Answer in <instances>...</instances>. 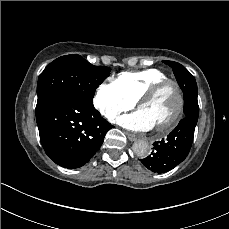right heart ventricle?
Segmentation results:
<instances>
[{"mask_svg": "<svg viewBox=\"0 0 229 229\" xmlns=\"http://www.w3.org/2000/svg\"><path fill=\"white\" fill-rule=\"evenodd\" d=\"M168 78L169 76L162 70L149 68L122 72L117 76L116 82L126 95L136 102L139 101L150 88Z\"/></svg>", "mask_w": 229, "mask_h": 229, "instance_id": "right-heart-ventricle-1", "label": "right heart ventricle"}]
</instances>
